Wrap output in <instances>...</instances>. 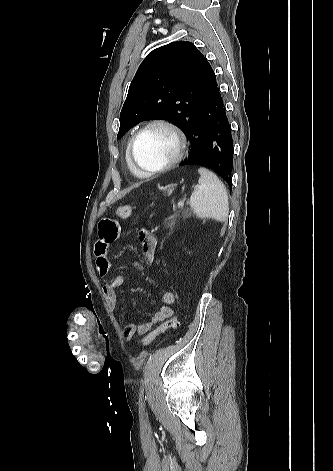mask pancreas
<instances>
[{
    "label": "pancreas",
    "mask_w": 333,
    "mask_h": 471,
    "mask_svg": "<svg viewBox=\"0 0 333 471\" xmlns=\"http://www.w3.org/2000/svg\"><path fill=\"white\" fill-rule=\"evenodd\" d=\"M190 216H191V213L189 212V209L182 208L181 210H179L178 212H176L175 214H173L169 218L165 219L164 220V225H165L166 228H169L170 230H172L175 226L177 218L187 219Z\"/></svg>",
    "instance_id": "1"
}]
</instances>
